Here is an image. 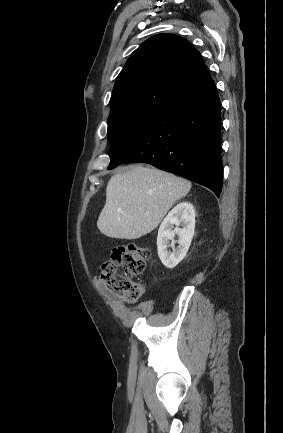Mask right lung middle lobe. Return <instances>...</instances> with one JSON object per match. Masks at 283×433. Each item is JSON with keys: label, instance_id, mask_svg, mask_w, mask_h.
I'll return each mask as SVG.
<instances>
[{"label": "right lung middle lobe", "instance_id": "1", "mask_svg": "<svg viewBox=\"0 0 283 433\" xmlns=\"http://www.w3.org/2000/svg\"><path fill=\"white\" fill-rule=\"evenodd\" d=\"M163 109L129 105L111 110L108 118L109 156L113 158L122 151L142 128Z\"/></svg>", "mask_w": 283, "mask_h": 433}]
</instances>
